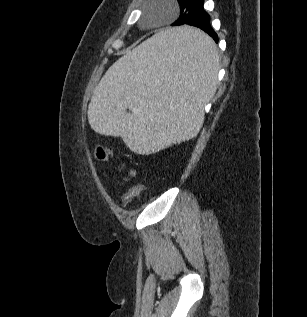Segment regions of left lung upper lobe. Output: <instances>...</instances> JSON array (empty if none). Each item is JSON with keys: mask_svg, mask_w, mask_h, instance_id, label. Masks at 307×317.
I'll list each match as a JSON object with an SVG mask.
<instances>
[{"mask_svg": "<svg viewBox=\"0 0 307 317\" xmlns=\"http://www.w3.org/2000/svg\"><path fill=\"white\" fill-rule=\"evenodd\" d=\"M180 6V16L179 18L172 24L180 25L183 23L184 19L195 14L198 6L201 4L203 0H177Z\"/></svg>", "mask_w": 307, "mask_h": 317, "instance_id": "1", "label": "left lung upper lobe"}]
</instances>
